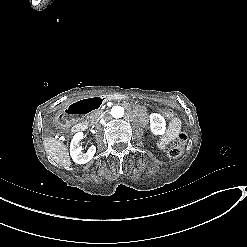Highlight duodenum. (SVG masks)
<instances>
[{"label": "duodenum", "mask_w": 247, "mask_h": 247, "mask_svg": "<svg viewBox=\"0 0 247 247\" xmlns=\"http://www.w3.org/2000/svg\"><path fill=\"white\" fill-rule=\"evenodd\" d=\"M123 95L110 94L101 96H90L83 98L77 102L72 103L63 114V119L65 121H70L74 123V131H84L86 129V124L84 122H78L77 117L87 114L93 110L98 109L105 101L112 99H123Z\"/></svg>", "instance_id": "410a0bca"}]
</instances>
